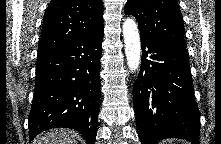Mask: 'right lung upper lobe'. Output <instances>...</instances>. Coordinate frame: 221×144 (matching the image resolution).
Returning <instances> with one entry per match:
<instances>
[{"label":"right lung upper lobe","mask_w":221,"mask_h":144,"mask_svg":"<svg viewBox=\"0 0 221 144\" xmlns=\"http://www.w3.org/2000/svg\"><path fill=\"white\" fill-rule=\"evenodd\" d=\"M102 15V0H52L44 16L38 57L104 28Z\"/></svg>","instance_id":"1"}]
</instances>
